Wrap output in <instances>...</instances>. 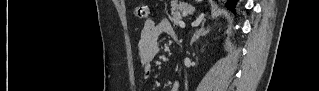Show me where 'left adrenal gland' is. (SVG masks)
I'll use <instances>...</instances> for the list:
<instances>
[{"mask_svg": "<svg viewBox=\"0 0 319 91\" xmlns=\"http://www.w3.org/2000/svg\"><path fill=\"white\" fill-rule=\"evenodd\" d=\"M204 24H205V19L202 22L201 28L196 30V32L194 33V35H193V37L191 39V44H193V42H195L200 36H202V35H204L206 33Z\"/></svg>", "mask_w": 319, "mask_h": 91, "instance_id": "a2214340", "label": "left adrenal gland"}]
</instances>
